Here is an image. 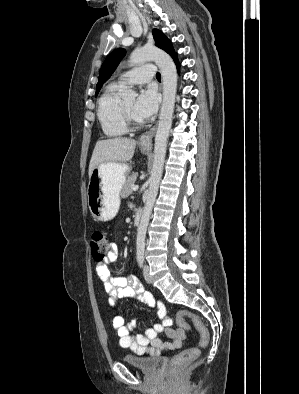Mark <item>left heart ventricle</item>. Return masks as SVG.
Here are the masks:
<instances>
[{"mask_svg": "<svg viewBox=\"0 0 299 394\" xmlns=\"http://www.w3.org/2000/svg\"><path fill=\"white\" fill-rule=\"evenodd\" d=\"M123 103H124L125 108L128 110V112H129L132 116H134V117L136 118V116H135V114H134L135 100H134V99H130V100L124 101Z\"/></svg>", "mask_w": 299, "mask_h": 394, "instance_id": "obj_1", "label": "left heart ventricle"}]
</instances>
